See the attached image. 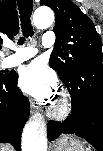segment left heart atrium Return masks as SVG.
<instances>
[{
  "instance_id": "39dd6f15",
  "label": "left heart atrium",
  "mask_w": 103,
  "mask_h": 151,
  "mask_svg": "<svg viewBox=\"0 0 103 151\" xmlns=\"http://www.w3.org/2000/svg\"><path fill=\"white\" fill-rule=\"evenodd\" d=\"M19 85L31 97L47 100L55 93L56 78L44 62L36 60L21 70Z\"/></svg>"
}]
</instances>
